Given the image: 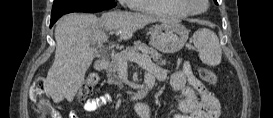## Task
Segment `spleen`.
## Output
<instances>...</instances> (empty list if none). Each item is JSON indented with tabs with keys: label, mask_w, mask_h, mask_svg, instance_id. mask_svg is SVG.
I'll list each match as a JSON object with an SVG mask.
<instances>
[{
	"label": "spleen",
	"mask_w": 273,
	"mask_h": 118,
	"mask_svg": "<svg viewBox=\"0 0 273 118\" xmlns=\"http://www.w3.org/2000/svg\"><path fill=\"white\" fill-rule=\"evenodd\" d=\"M193 43L199 52V58L208 66H217L221 62L222 50L217 35L206 28L197 30Z\"/></svg>",
	"instance_id": "1"
}]
</instances>
